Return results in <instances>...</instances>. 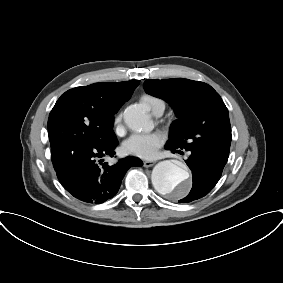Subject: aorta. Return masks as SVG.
Instances as JSON below:
<instances>
[{
    "label": "aorta",
    "instance_id": "aorta-1",
    "mask_svg": "<svg viewBox=\"0 0 283 283\" xmlns=\"http://www.w3.org/2000/svg\"><path fill=\"white\" fill-rule=\"evenodd\" d=\"M124 121L130 129L135 131L152 128L150 116L138 106H129L125 109ZM151 179L155 190L162 195L181 198L190 189L189 172L170 160L159 162L153 168Z\"/></svg>",
    "mask_w": 283,
    "mask_h": 283
}]
</instances>
